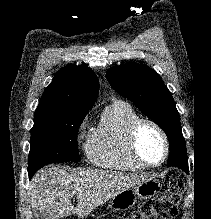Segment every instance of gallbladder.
Returning a JSON list of instances; mask_svg holds the SVG:
<instances>
[{"label": "gallbladder", "instance_id": "1", "mask_svg": "<svg viewBox=\"0 0 211 219\" xmlns=\"http://www.w3.org/2000/svg\"><path fill=\"white\" fill-rule=\"evenodd\" d=\"M37 219H48V216H47V214L46 213H44V212H41L40 214H39V216H38V218Z\"/></svg>", "mask_w": 211, "mask_h": 219}]
</instances>
